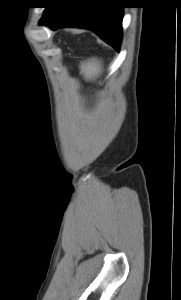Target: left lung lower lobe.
<instances>
[{
    "instance_id": "obj_1",
    "label": "left lung lower lobe",
    "mask_w": 181,
    "mask_h": 300,
    "mask_svg": "<svg viewBox=\"0 0 181 300\" xmlns=\"http://www.w3.org/2000/svg\"><path fill=\"white\" fill-rule=\"evenodd\" d=\"M122 18L123 7L116 0H57L39 24L52 30L63 27L92 30L119 52Z\"/></svg>"
}]
</instances>
